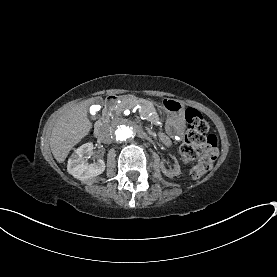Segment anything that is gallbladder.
<instances>
[{"mask_svg": "<svg viewBox=\"0 0 277 277\" xmlns=\"http://www.w3.org/2000/svg\"><path fill=\"white\" fill-rule=\"evenodd\" d=\"M95 102L102 104L103 103V99L98 97V98L95 99Z\"/></svg>", "mask_w": 277, "mask_h": 277, "instance_id": "gallbladder-1", "label": "gallbladder"}]
</instances>
